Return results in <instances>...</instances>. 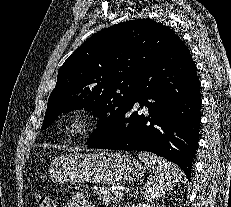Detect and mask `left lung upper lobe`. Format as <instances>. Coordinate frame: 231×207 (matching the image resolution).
<instances>
[{
  "label": "left lung upper lobe",
  "mask_w": 231,
  "mask_h": 207,
  "mask_svg": "<svg viewBox=\"0 0 231 207\" xmlns=\"http://www.w3.org/2000/svg\"><path fill=\"white\" fill-rule=\"evenodd\" d=\"M179 37L151 19L103 29L80 46L58 71L42 130L64 112L85 108L99 117L88 142L115 132L139 93L138 79Z\"/></svg>",
  "instance_id": "left-lung-upper-lobe-1"
}]
</instances>
